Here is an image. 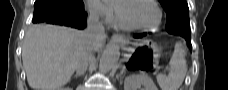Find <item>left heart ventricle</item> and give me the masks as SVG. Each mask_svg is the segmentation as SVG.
<instances>
[{
  "label": "left heart ventricle",
  "mask_w": 228,
  "mask_h": 90,
  "mask_svg": "<svg viewBox=\"0 0 228 90\" xmlns=\"http://www.w3.org/2000/svg\"><path fill=\"white\" fill-rule=\"evenodd\" d=\"M123 15L130 24L140 27H153L158 21L156 8L147 0H139L125 5Z\"/></svg>",
  "instance_id": "1"
}]
</instances>
